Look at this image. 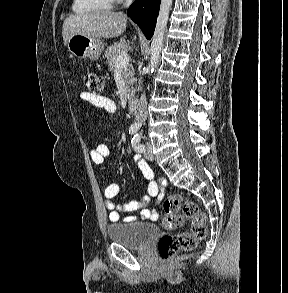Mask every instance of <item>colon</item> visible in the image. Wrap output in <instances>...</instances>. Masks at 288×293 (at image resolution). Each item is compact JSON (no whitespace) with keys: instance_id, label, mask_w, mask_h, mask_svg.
I'll use <instances>...</instances> for the list:
<instances>
[{"instance_id":"5ec220e1","label":"colon","mask_w":288,"mask_h":293,"mask_svg":"<svg viewBox=\"0 0 288 293\" xmlns=\"http://www.w3.org/2000/svg\"><path fill=\"white\" fill-rule=\"evenodd\" d=\"M84 82L87 90L96 95L102 93L105 87L102 75L93 71L85 74ZM163 210L161 225L164 229L172 230L180 227L184 217L189 218L192 225L189 232L177 235L166 234L160 237L157 249L162 260L172 258L179 251L194 249L198 242L206 237V217L195 202L182 195H172L164 200Z\"/></svg>"}]
</instances>
